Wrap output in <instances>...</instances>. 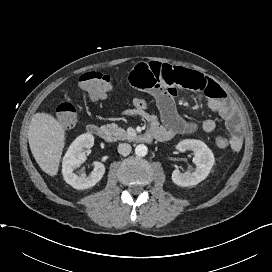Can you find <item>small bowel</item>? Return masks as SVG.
Listing matches in <instances>:
<instances>
[{"instance_id": "1", "label": "small bowel", "mask_w": 272, "mask_h": 272, "mask_svg": "<svg viewBox=\"0 0 272 272\" xmlns=\"http://www.w3.org/2000/svg\"><path fill=\"white\" fill-rule=\"evenodd\" d=\"M130 82L155 99L159 117L135 107L126 110L125 114L143 118L156 140L164 142L178 136L210 133L216 129L213 119L193 122L179 115L174 96L180 90H193L204 94L208 98L209 108L223 118L230 133L231 149L239 151L242 148L243 137L235 106L217 83L201 73L159 62H143L131 71Z\"/></svg>"}]
</instances>
